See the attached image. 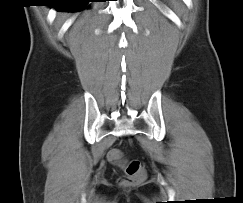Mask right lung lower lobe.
<instances>
[{"label": "right lung lower lobe", "instance_id": "1", "mask_svg": "<svg viewBox=\"0 0 243 203\" xmlns=\"http://www.w3.org/2000/svg\"><path fill=\"white\" fill-rule=\"evenodd\" d=\"M97 0H59L58 3L53 6L59 11H71L76 12L83 8L87 3Z\"/></svg>", "mask_w": 243, "mask_h": 203}]
</instances>
